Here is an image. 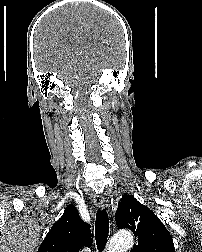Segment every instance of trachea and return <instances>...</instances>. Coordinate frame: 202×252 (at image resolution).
<instances>
[{
  "instance_id": "trachea-1",
  "label": "trachea",
  "mask_w": 202,
  "mask_h": 252,
  "mask_svg": "<svg viewBox=\"0 0 202 252\" xmlns=\"http://www.w3.org/2000/svg\"><path fill=\"white\" fill-rule=\"evenodd\" d=\"M109 234V218L105 209L98 210L95 221V239L97 249L101 252L105 245Z\"/></svg>"
}]
</instances>
